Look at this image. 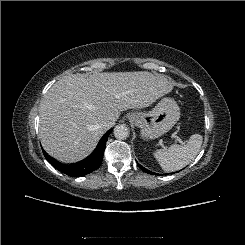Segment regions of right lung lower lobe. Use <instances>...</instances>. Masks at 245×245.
<instances>
[{
  "label": "right lung lower lobe",
  "mask_w": 245,
  "mask_h": 245,
  "mask_svg": "<svg viewBox=\"0 0 245 245\" xmlns=\"http://www.w3.org/2000/svg\"><path fill=\"white\" fill-rule=\"evenodd\" d=\"M111 131H112V129L109 130L101 138L96 149L94 150V152L89 157H87L83 161L78 162L76 164L65 165V164L58 162L57 160H55L51 156H49L44 150H43V154H44L45 158L47 159V161L57 170L65 173L69 176H73V177L84 176L88 173L95 171L101 165L104 150H105L106 141H107L108 136H109Z\"/></svg>",
  "instance_id": "98d812e1"
}]
</instances>
